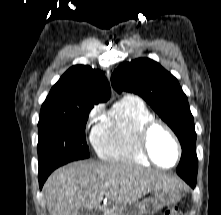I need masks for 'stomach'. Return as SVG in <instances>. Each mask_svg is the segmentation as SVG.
Returning a JSON list of instances; mask_svg holds the SVG:
<instances>
[{"label":"stomach","mask_w":221,"mask_h":215,"mask_svg":"<svg viewBox=\"0 0 221 215\" xmlns=\"http://www.w3.org/2000/svg\"><path fill=\"white\" fill-rule=\"evenodd\" d=\"M181 199L178 188L154 190L151 195L140 202L120 206L121 215H154L166 206H173Z\"/></svg>","instance_id":"obj_1"}]
</instances>
